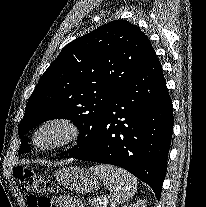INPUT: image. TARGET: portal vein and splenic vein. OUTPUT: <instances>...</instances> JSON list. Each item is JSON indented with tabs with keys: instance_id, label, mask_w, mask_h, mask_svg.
Returning a JSON list of instances; mask_svg holds the SVG:
<instances>
[{
	"instance_id": "18ae733b",
	"label": "portal vein and splenic vein",
	"mask_w": 206,
	"mask_h": 207,
	"mask_svg": "<svg viewBox=\"0 0 206 207\" xmlns=\"http://www.w3.org/2000/svg\"><path fill=\"white\" fill-rule=\"evenodd\" d=\"M101 204H102L101 207H106V202H102Z\"/></svg>"
}]
</instances>
